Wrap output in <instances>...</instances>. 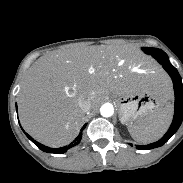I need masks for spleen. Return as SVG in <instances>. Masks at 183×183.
<instances>
[{
  "label": "spleen",
  "mask_w": 183,
  "mask_h": 183,
  "mask_svg": "<svg viewBox=\"0 0 183 183\" xmlns=\"http://www.w3.org/2000/svg\"><path fill=\"white\" fill-rule=\"evenodd\" d=\"M173 106L167 104L146 116L137 124H129L128 131L132 138L139 143L147 144L159 140L170 126Z\"/></svg>",
  "instance_id": "1"
}]
</instances>
